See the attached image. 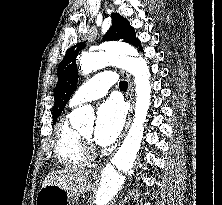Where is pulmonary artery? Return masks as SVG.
Wrapping results in <instances>:
<instances>
[{
    "instance_id": "obj_1",
    "label": "pulmonary artery",
    "mask_w": 222,
    "mask_h": 205,
    "mask_svg": "<svg viewBox=\"0 0 222 205\" xmlns=\"http://www.w3.org/2000/svg\"><path fill=\"white\" fill-rule=\"evenodd\" d=\"M113 84H115V77L112 72L101 71L77 89L69 102V106L75 107L101 98L107 94Z\"/></svg>"
}]
</instances>
